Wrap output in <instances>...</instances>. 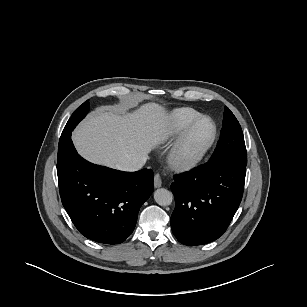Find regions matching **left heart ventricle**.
<instances>
[{"label":"left heart ventricle","instance_id":"b2bd125f","mask_svg":"<svg viewBox=\"0 0 307 307\" xmlns=\"http://www.w3.org/2000/svg\"><path fill=\"white\" fill-rule=\"evenodd\" d=\"M213 126L209 120L201 121L192 131L185 148L184 156H191L199 152L210 140Z\"/></svg>","mask_w":307,"mask_h":307}]
</instances>
